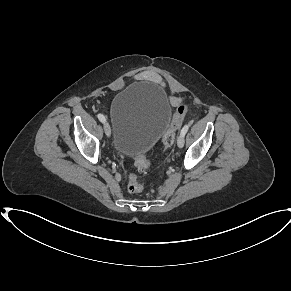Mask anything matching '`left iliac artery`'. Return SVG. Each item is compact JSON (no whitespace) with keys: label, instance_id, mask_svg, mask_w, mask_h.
I'll return each mask as SVG.
<instances>
[{"label":"left iliac artery","instance_id":"left-iliac-artery-1","mask_svg":"<svg viewBox=\"0 0 291 291\" xmlns=\"http://www.w3.org/2000/svg\"><path fill=\"white\" fill-rule=\"evenodd\" d=\"M188 129H189V125L186 124V125L182 128V130H181V134L185 136V134L187 133Z\"/></svg>","mask_w":291,"mask_h":291}]
</instances>
